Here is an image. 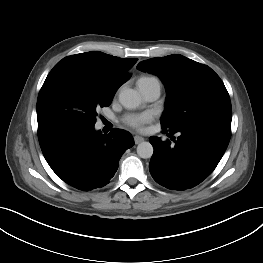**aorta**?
<instances>
[{"label": "aorta", "mask_w": 263, "mask_h": 263, "mask_svg": "<svg viewBox=\"0 0 263 263\" xmlns=\"http://www.w3.org/2000/svg\"><path fill=\"white\" fill-rule=\"evenodd\" d=\"M120 103L127 109H135L141 104V96L134 89H124L119 94ZM153 146L149 142H141L137 146V154L143 159L151 158Z\"/></svg>", "instance_id": "1"}]
</instances>
